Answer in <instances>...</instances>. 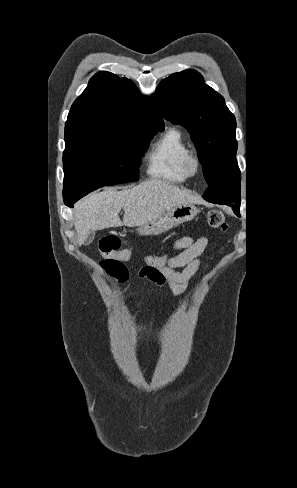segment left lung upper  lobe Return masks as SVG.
<instances>
[{
  "instance_id": "left-lung-upper-lobe-1",
  "label": "left lung upper lobe",
  "mask_w": 297,
  "mask_h": 488,
  "mask_svg": "<svg viewBox=\"0 0 297 488\" xmlns=\"http://www.w3.org/2000/svg\"><path fill=\"white\" fill-rule=\"evenodd\" d=\"M151 97L165 119L181 124L191 134L208 183L203 198L239 212L236 120L224 98L191 69L162 80Z\"/></svg>"
}]
</instances>
